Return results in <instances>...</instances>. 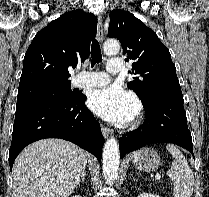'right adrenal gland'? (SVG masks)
Listing matches in <instances>:
<instances>
[{"label": "right adrenal gland", "instance_id": "obj_1", "mask_svg": "<svg viewBox=\"0 0 209 197\" xmlns=\"http://www.w3.org/2000/svg\"><path fill=\"white\" fill-rule=\"evenodd\" d=\"M85 176H86V171L84 170V171L82 172V174H81V179H80V181H81L82 183H84Z\"/></svg>", "mask_w": 209, "mask_h": 197}]
</instances>
